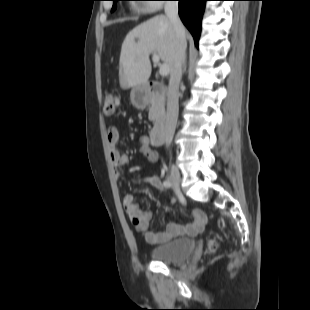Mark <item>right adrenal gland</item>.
<instances>
[{
	"label": "right adrenal gland",
	"mask_w": 310,
	"mask_h": 310,
	"mask_svg": "<svg viewBox=\"0 0 310 310\" xmlns=\"http://www.w3.org/2000/svg\"><path fill=\"white\" fill-rule=\"evenodd\" d=\"M187 68V57L185 56L184 64H183V73L186 71Z\"/></svg>",
	"instance_id": "1"
}]
</instances>
